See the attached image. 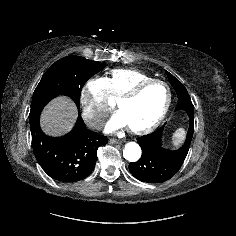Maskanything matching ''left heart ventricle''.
<instances>
[{
	"label": "left heart ventricle",
	"instance_id": "b2bd125f",
	"mask_svg": "<svg viewBox=\"0 0 236 236\" xmlns=\"http://www.w3.org/2000/svg\"><path fill=\"white\" fill-rule=\"evenodd\" d=\"M168 93L161 84L146 88L135 100L125 103L120 113L125 117L129 127H143L152 123L167 102Z\"/></svg>",
	"mask_w": 236,
	"mask_h": 236
}]
</instances>
